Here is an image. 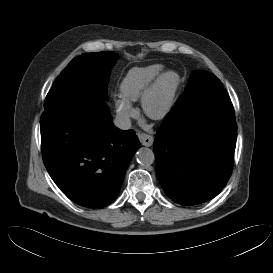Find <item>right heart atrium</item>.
I'll return each instance as SVG.
<instances>
[{
    "mask_svg": "<svg viewBox=\"0 0 273 273\" xmlns=\"http://www.w3.org/2000/svg\"><path fill=\"white\" fill-rule=\"evenodd\" d=\"M114 103L116 112L121 119L128 120L138 115V112L133 107L132 103L126 100L125 98L122 97L116 98Z\"/></svg>",
    "mask_w": 273,
    "mask_h": 273,
    "instance_id": "right-heart-atrium-1",
    "label": "right heart atrium"
}]
</instances>
